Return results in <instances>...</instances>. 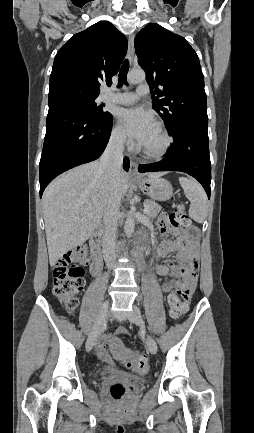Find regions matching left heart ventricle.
Returning <instances> with one entry per match:
<instances>
[{"label":"left heart ventricle","instance_id":"left-heart-ventricle-1","mask_svg":"<svg viewBox=\"0 0 254 433\" xmlns=\"http://www.w3.org/2000/svg\"><path fill=\"white\" fill-rule=\"evenodd\" d=\"M164 139L158 129L154 127L150 135L143 142L142 146L149 150H158L162 147Z\"/></svg>","mask_w":254,"mask_h":433}]
</instances>
